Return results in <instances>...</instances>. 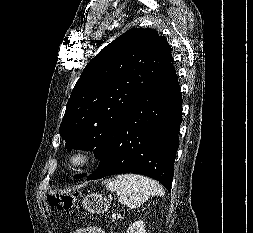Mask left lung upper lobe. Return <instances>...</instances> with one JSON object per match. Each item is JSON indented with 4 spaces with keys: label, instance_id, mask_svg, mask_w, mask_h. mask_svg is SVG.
I'll list each match as a JSON object with an SVG mask.
<instances>
[{
    "label": "left lung upper lobe",
    "instance_id": "left-lung-upper-lobe-1",
    "mask_svg": "<svg viewBox=\"0 0 253 233\" xmlns=\"http://www.w3.org/2000/svg\"><path fill=\"white\" fill-rule=\"evenodd\" d=\"M171 47L150 28H132L84 68L59 128L66 149L101 158L130 110L172 62ZM85 176L76 175L75 178Z\"/></svg>",
    "mask_w": 253,
    "mask_h": 233
}]
</instances>
